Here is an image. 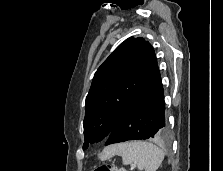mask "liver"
<instances>
[{
    "label": "liver",
    "mask_w": 223,
    "mask_h": 171,
    "mask_svg": "<svg viewBox=\"0 0 223 171\" xmlns=\"http://www.w3.org/2000/svg\"><path fill=\"white\" fill-rule=\"evenodd\" d=\"M117 148H118V145H113V146L105 148L101 155V160H106L112 157L114 154L117 153Z\"/></svg>",
    "instance_id": "6515ba94"
}]
</instances>
